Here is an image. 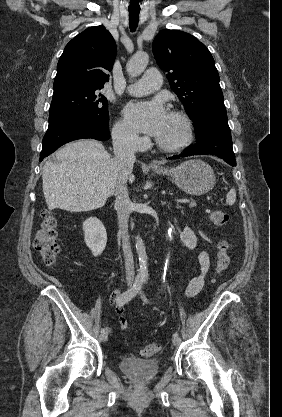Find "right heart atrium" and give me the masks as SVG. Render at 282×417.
I'll return each instance as SVG.
<instances>
[{
	"label": "right heart atrium",
	"instance_id": "1",
	"mask_svg": "<svg viewBox=\"0 0 282 417\" xmlns=\"http://www.w3.org/2000/svg\"><path fill=\"white\" fill-rule=\"evenodd\" d=\"M113 141L120 150L136 152L141 148L142 139L139 138L123 121H118L113 129Z\"/></svg>",
	"mask_w": 282,
	"mask_h": 417
}]
</instances>
